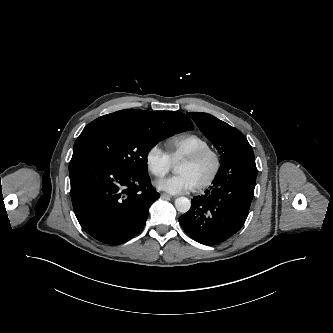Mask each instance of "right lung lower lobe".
<instances>
[{
    "label": "right lung lower lobe",
    "mask_w": 333,
    "mask_h": 333,
    "mask_svg": "<svg viewBox=\"0 0 333 333\" xmlns=\"http://www.w3.org/2000/svg\"><path fill=\"white\" fill-rule=\"evenodd\" d=\"M69 174L75 215L103 243L117 245L134 237L159 198L148 174L126 172L89 151L73 152Z\"/></svg>",
    "instance_id": "98d812e1"
}]
</instances>
